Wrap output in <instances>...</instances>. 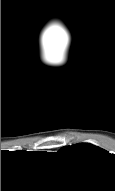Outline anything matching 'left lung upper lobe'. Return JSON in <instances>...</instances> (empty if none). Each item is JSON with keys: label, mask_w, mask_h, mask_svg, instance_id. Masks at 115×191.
<instances>
[{"label": "left lung upper lobe", "mask_w": 115, "mask_h": 191, "mask_svg": "<svg viewBox=\"0 0 115 191\" xmlns=\"http://www.w3.org/2000/svg\"><path fill=\"white\" fill-rule=\"evenodd\" d=\"M60 151L88 159H97L109 155L107 151L89 143H78L71 146H64Z\"/></svg>", "instance_id": "obj_1"}]
</instances>
